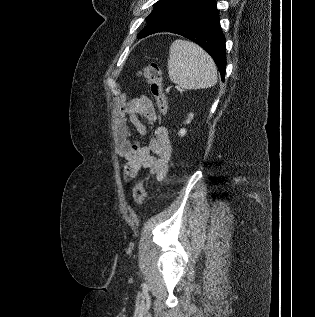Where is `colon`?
Returning a JSON list of instances; mask_svg holds the SVG:
<instances>
[{
    "label": "colon",
    "instance_id": "1",
    "mask_svg": "<svg viewBox=\"0 0 315 317\" xmlns=\"http://www.w3.org/2000/svg\"><path fill=\"white\" fill-rule=\"evenodd\" d=\"M141 74L150 86L151 93L162 115L167 113V101L163 89V77L160 67L156 63H148L141 70ZM145 180H139L133 188V198L138 206L144 204L146 199Z\"/></svg>",
    "mask_w": 315,
    "mask_h": 317
}]
</instances>
